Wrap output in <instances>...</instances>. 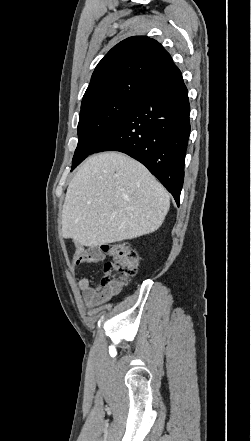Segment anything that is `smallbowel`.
<instances>
[{"label":"small bowel","instance_id":"1","mask_svg":"<svg viewBox=\"0 0 251 441\" xmlns=\"http://www.w3.org/2000/svg\"><path fill=\"white\" fill-rule=\"evenodd\" d=\"M104 260V254L96 249H86L81 246H77L76 252L72 258L70 264V271L75 272L77 267H81L88 263H99ZM77 286L82 294L85 303L88 306L100 305L120 292V289H115L111 286L98 285L92 286L90 280L87 277H82L77 281Z\"/></svg>","mask_w":251,"mask_h":441}]
</instances>
